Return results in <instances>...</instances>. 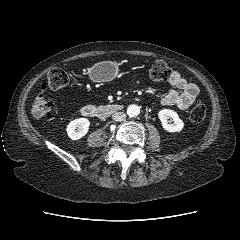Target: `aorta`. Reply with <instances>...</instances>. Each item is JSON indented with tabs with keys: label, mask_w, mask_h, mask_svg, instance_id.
Instances as JSON below:
<instances>
[{
	"label": "aorta",
	"mask_w": 240,
	"mask_h": 240,
	"mask_svg": "<svg viewBox=\"0 0 240 240\" xmlns=\"http://www.w3.org/2000/svg\"><path fill=\"white\" fill-rule=\"evenodd\" d=\"M140 113V108L138 105L131 104L127 107V115L129 117H135Z\"/></svg>",
	"instance_id": "762f6f07"
}]
</instances>
